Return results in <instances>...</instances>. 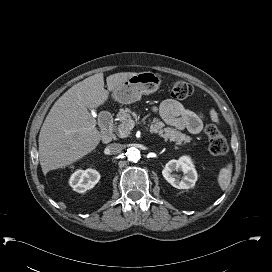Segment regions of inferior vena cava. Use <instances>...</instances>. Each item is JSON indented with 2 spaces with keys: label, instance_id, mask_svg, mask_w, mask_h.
Returning a JSON list of instances; mask_svg holds the SVG:
<instances>
[{
  "label": "inferior vena cava",
  "instance_id": "inferior-vena-cava-1",
  "mask_svg": "<svg viewBox=\"0 0 272 272\" xmlns=\"http://www.w3.org/2000/svg\"><path fill=\"white\" fill-rule=\"evenodd\" d=\"M106 149L109 154H118L122 151V145L119 143H111Z\"/></svg>",
  "mask_w": 272,
  "mask_h": 272
}]
</instances>
